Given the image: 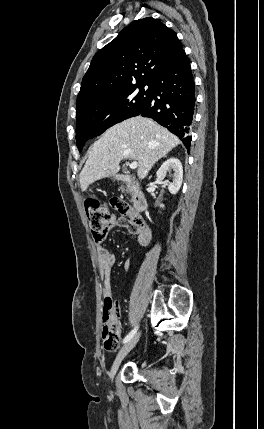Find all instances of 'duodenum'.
<instances>
[{"instance_id":"duodenum-1","label":"duodenum","mask_w":264,"mask_h":429,"mask_svg":"<svg viewBox=\"0 0 264 429\" xmlns=\"http://www.w3.org/2000/svg\"><path fill=\"white\" fill-rule=\"evenodd\" d=\"M114 178L117 181H121L130 186L132 197H133V206L135 210V216L139 217V215L144 212L147 208V199L139 188L137 183L128 175L116 174Z\"/></svg>"}]
</instances>
